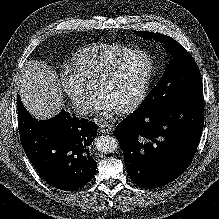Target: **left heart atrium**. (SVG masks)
Masks as SVG:
<instances>
[{"instance_id": "39dd6f15", "label": "left heart atrium", "mask_w": 219, "mask_h": 219, "mask_svg": "<svg viewBox=\"0 0 219 219\" xmlns=\"http://www.w3.org/2000/svg\"><path fill=\"white\" fill-rule=\"evenodd\" d=\"M96 110L101 116L111 118L117 111V108L106 98L100 96L97 100Z\"/></svg>"}]
</instances>
